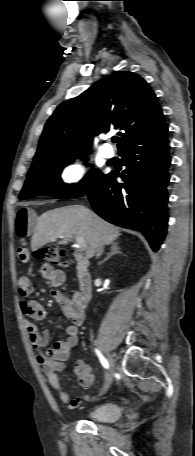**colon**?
<instances>
[{
	"mask_svg": "<svg viewBox=\"0 0 195 456\" xmlns=\"http://www.w3.org/2000/svg\"><path fill=\"white\" fill-rule=\"evenodd\" d=\"M37 259L44 260L48 265L54 267H63L66 265V252L54 245L47 246L35 253Z\"/></svg>",
	"mask_w": 195,
	"mask_h": 456,
	"instance_id": "obj_1",
	"label": "colon"
}]
</instances>
